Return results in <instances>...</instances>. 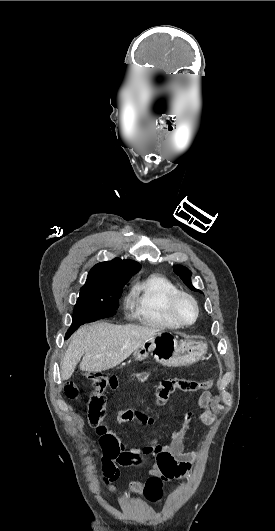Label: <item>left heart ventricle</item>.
<instances>
[{
  "instance_id": "b2bd125f",
  "label": "left heart ventricle",
  "mask_w": 275,
  "mask_h": 531,
  "mask_svg": "<svg viewBox=\"0 0 275 531\" xmlns=\"http://www.w3.org/2000/svg\"><path fill=\"white\" fill-rule=\"evenodd\" d=\"M176 311L178 316L184 321H191L196 312L192 301L185 297H182L177 301Z\"/></svg>"
}]
</instances>
